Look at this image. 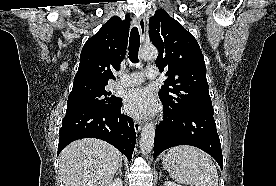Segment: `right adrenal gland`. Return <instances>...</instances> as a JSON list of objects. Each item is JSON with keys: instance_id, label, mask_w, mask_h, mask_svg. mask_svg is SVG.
Here are the masks:
<instances>
[{"instance_id": "obj_1", "label": "right adrenal gland", "mask_w": 276, "mask_h": 186, "mask_svg": "<svg viewBox=\"0 0 276 186\" xmlns=\"http://www.w3.org/2000/svg\"><path fill=\"white\" fill-rule=\"evenodd\" d=\"M121 168H122V166L119 167V170H118V172H117V175L120 174V176H122Z\"/></svg>"}]
</instances>
